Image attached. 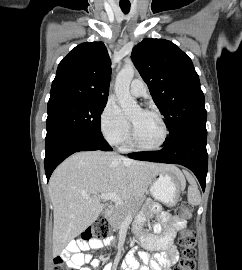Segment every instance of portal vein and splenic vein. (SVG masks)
Segmentation results:
<instances>
[{
	"label": "portal vein and splenic vein",
	"mask_w": 242,
	"mask_h": 270,
	"mask_svg": "<svg viewBox=\"0 0 242 270\" xmlns=\"http://www.w3.org/2000/svg\"><path fill=\"white\" fill-rule=\"evenodd\" d=\"M83 197L85 199H90V196L86 195V194H84ZM98 197L100 199H104V200H111L116 205L123 206L125 204L124 201L115 192L114 193H103V194L99 195Z\"/></svg>",
	"instance_id": "1"
}]
</instances>
